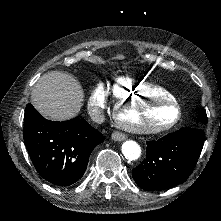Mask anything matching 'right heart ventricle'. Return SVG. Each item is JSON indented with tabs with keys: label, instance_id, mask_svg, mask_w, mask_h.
<instances>
[{
	"label": "right heart ventricle",
	"instance_id": "right-heart-ventricle-1",
	"mask_svg": "<svg viewBox=\"0 0 221 221\" xmlns=\"http://www.w3.org/2000/svg\"><path fill=\"white\" fill-rule=\"evenodd\" d=\"M111 89L114 95L118 98H124L128 95L132 96L135 100L140 99L141 96H147L150 100L155 98L169 99L173 95L172 90L169 88L160 89L158 85H150L146 80L127 76H121L115 79Z\"/></svg>",
	"mask_w": 221,
	"mask_h": 221
}]
</instances>
